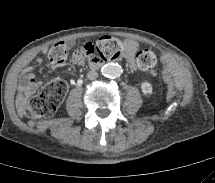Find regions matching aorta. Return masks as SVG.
I'll return each instance as SVG.
<instances>
[{
    "mask_svg": "<svg viewBox=\"0 0 215 183\" xmlns=\"http://www.w3.org/2000/svg\"><path fill=\"white\" fill-rule=\"evenodd\" d=\"M101 72L106 77L114 78L121 75L122 69L121 66L116 63H109L102 67Z\"/></svg>",
    "mask_w": 215,
    "mask_h": 183,
    "instance_id": "aorta-1",
    "label": "aorta"
}]
</instances>
